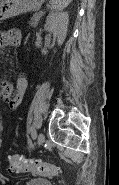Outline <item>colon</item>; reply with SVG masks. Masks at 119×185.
<instances>
[{
  "label": "colon",
  "instance_id": "5ec220e1",
  "mask_svg": "<svg viewBox=\"0 0 119 185\" xmlns=\"http://www.w3.org/2000/svg\"><path fill=\"white\" fill-rule=\"evenodd\" d=\"M7 162L11 172H29L42 176H53L58 174V168L54 164L35 159H25L19 154L10 155L7 158Z\"/></svg>",
  "mask_w": 119,
  "mask_h": 185
}]
</instances>
